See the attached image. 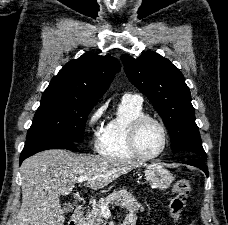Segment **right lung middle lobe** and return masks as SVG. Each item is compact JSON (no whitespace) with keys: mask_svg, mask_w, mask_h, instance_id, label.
<instances>
[{"mask_svg":"<svg viewBox=\"0 0 228 225\" xmlns=\"http://www.w3.org/2000/svg\"><path fill=\"white\" fill-rule=\"evenodd\" d=\"M95 103L61 92L45 90L26 140L54 136L81 142L88 114Z\"/></svg>","mask_w":228,"mask_h":225,"instance_id":"1","label":"right lung middle lobe"}]
</instances>
